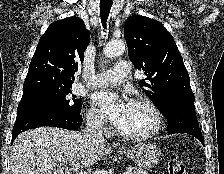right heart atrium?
<instances>
[{
    "label": "right heart atrium",
    "instance_id": "1",
    "mask_svg": "<svg viewBox=\"0 0 224 174\" xmlns=\"http://www.w3.org/2000/svg\"><path fill=\"white\" fill-rule=\"evenodd\" d=\"M88 125L95 130L104 131L106 122L102 114L95 107H91L86 115Z\"/></svg>",
    "mask_w": 224,
    "mask_h": 174
}]
</instances>
